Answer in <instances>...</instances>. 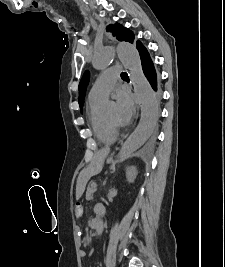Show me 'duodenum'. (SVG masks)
<instances>
[{"label": "duodenum", "instance_id": "1", "mask_svg": "<svg viewBox=\"0 0 225 267\" xmlns=\"http://www.w3.org/2000/svg\"><path fill=\"white\" fill-rule=\"evenodd\" d=\"M97 212L99 214H101L102 213V209L100 207L97 208ZM102 224H103V219H102V217L99 216V217H97V218H95V219L92 220L91 227L93 229H98L99 227L102 226Z\"/></svg>", "mask_w": 225, "mask_h": 267}]
</instances>
